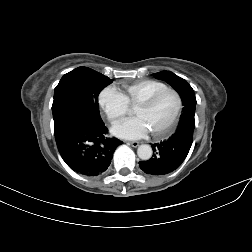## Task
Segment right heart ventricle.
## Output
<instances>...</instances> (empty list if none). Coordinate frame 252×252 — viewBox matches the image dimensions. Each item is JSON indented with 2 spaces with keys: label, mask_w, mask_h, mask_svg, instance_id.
<instances>
[{
  "label": "right heart ventricle",
  "mask_w": 252,
  "mask_h": 252,
  "mask_svg": "<svg viewBox=\"0 0 252 252\" xmlns=\"http://www.w3.org/2000/svg\"><path fill=\"white\" fill-rule=\"evenodd\" d=\"M168 86L160 81L146 79L136 81L123 86V94L128 103L136 105L151 94Z\"/></svg>",
  "instance_id": "e07e8e85"
}]
</instances>
